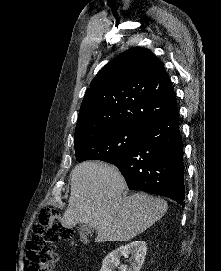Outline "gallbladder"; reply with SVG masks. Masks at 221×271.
Returning a JSON list of instances; mask_svg holds the SVG:
<instances>
[{
	"label": "gallbladder",
	"mask_w": 221,
	"mask_h": 271,
	"mask_svg": "<svg viewBox=\"0 0 221 271\" xmlns=\"http://www.w3.org/2000/svg\"><path fill=\"white\" fill-rule=\"evenodd\" d=\"M93 231H95V227L88 225V223H82V225L79 227L80 241H85L88 233H93Z\"/></svg>",
	"instance_id": "obj_1"
}]
</instances>
